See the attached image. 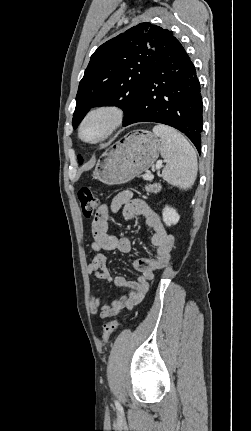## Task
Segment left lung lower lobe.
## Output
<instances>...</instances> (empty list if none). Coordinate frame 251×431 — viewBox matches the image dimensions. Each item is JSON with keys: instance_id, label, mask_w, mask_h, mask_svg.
<instances>
[{"instance_id": "left-lung-lower-lobe-1", "label": "left lung lower lobe", "mask_w": 251, "mask_h": 431, "mask_svg": "<svg viewBox=\"0 0 251 431\" xmlns=\"http://www.w3.org/2000/svg\"><path fill=\"white\" fill-rule=\"evenodd\" d=\"M202 97L196 70L172 35L160 47L137 104L124 122H157L184 133L201 150Z\"/></svg>"}]
</instances>
